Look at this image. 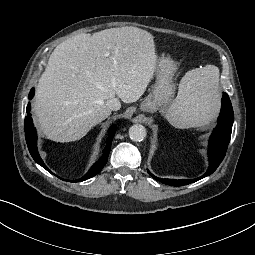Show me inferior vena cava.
Here are the masks:
<instances>
[{
    "label": "inferior vena cava",
    "mask_w": 255,
    "mask_h": 255,
    "mask_svg": "<svg viewBox=\"0 0 255 255\" xmlns=\"http://www.w3.org/2000/svg\"><path fill=\"white\" fill-rule=\"evenodd\" d=\"M106 105L111 111H117L121 108V103L117 98L107 100Z\"/></svg>",
    "instance_id": "inferior-vena-cava-1"
}]
</instances>
